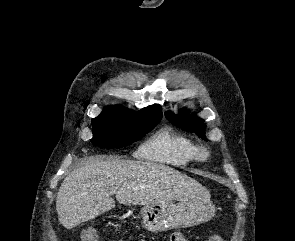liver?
Masks as SVG:
<instances>
[{
    "instance_id": "1",
    "label": "liver",
    "mask_w": 295,
    "mask_h": 241,
    "mask_svg": "<svg viewBox=\"0 0 295 241\" xmlns=\"http://www.w3.org/2000/svg\"><path fill=\"white\" fill-rule=\"evenodd\" d=\"M163 204L196 196H210L191 177L153 162L91 158L62 182L57 198L58 220L67 229L92 220L115 207Z\"/></svg>"
}]
</instances>
